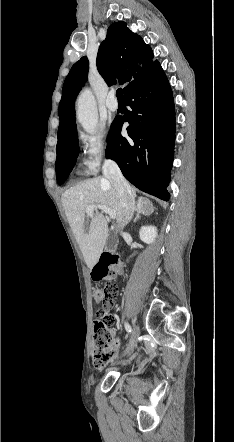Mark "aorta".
Instances as JSON below:
<instances>
[{"label": "aorta", "mask_w": 234, "mask_h": 442, "mask_svg": "<svg viewBox=\"0 0 234 442\" xmlns=\"http://www.w3.org/2000/svg\"><path fill=\"white\" fill-rule=\"evenodd\" d=\"M77 119L87 133L96 132L98 114L95 98L89 89L83 90L78 97Z\"/></svg>", "instance_id": "1"}]
</instances>
